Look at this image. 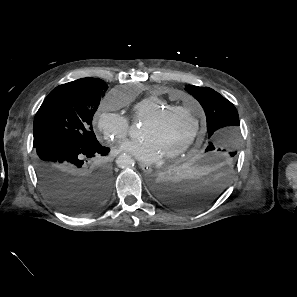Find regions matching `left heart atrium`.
Here are the masks:
<instances>
[{"label": "left heart atrium", "mask_w": 297, "mask_h": 297, "mask_svg": "<svg viewBox=\"0 0 297 297\" xmlns=\"http://www.w3.org/2000/svg\"><path fill=\"white\" fill-rule=\"evenodd\" d=\"M120 150L142 163H155L163 156L159 146L151 138L125 141L120 145Z\"/></svg>", "instance_id": "39dd6f15"}]
</instances>
